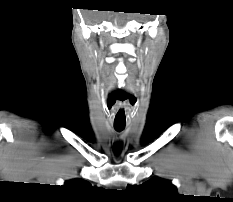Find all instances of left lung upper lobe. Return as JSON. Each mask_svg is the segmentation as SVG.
<instances>
[{
    "instance_id": "obj_1",
    "label": "left lung upper lobe",
    "mask_w": 233,
    "mask_h": 202,
    "mask_svg": "<svg viewBox=\"0 0 233 202\" xmlns=\"http://www.w3.org/2000/svg\"><path fill=\"white\" fill-rule=\"evenodd\" d=\"M127 190L139 193L155 202H171L179 195L174 185L159 178H153L140 186H128Z\"/></svg>"
}]
</instances>
